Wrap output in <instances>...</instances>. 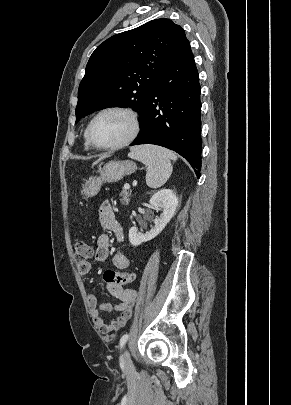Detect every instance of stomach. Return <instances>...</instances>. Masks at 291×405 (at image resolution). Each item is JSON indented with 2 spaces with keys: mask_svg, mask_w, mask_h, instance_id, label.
<instances>
[{
  "mask_svg": "<svg viewBox=\"0 0 291 405\" xmlns=\"http://www.w3.org/2000/svg\"><path fill=\"white\" fill-rule=\"evenodd\" d=\"M137 166L132 161H110L104 165L99 177H92L83 186V194L86 197L97 195L103 183L120 181L124 176L136 171Z\"/></svg>",
  "mask_w": 291,
  "mask_h": 405,
  "instance_id": "0dacf381",
  "label": "stomach"
}]
</instances>
